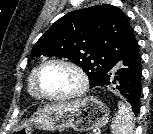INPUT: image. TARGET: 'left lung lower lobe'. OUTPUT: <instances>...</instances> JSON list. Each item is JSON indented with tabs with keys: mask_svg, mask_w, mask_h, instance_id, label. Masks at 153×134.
<instances>
[{
	"mask_svg": "<svg viewBox=\"0 0 153 134\" xmlns=\"http://www.w3.org/2000/svg\"><path fill=\"white\" fill-rule=\"evenodd\" d=\"M141 76V55L138 49L133 54L121 60L95 86L105 88H107L106 86H110L113 87V90L117 89L123 98L130 103L132 111L137 116L140 109Z\"/></svg>",
	"mask_w": 153,
	"mask_h": 134,
	"instance_id": "left-lung-lower-lobe-1",
	"label": "left lung lower lobe"
}]
</instances>
